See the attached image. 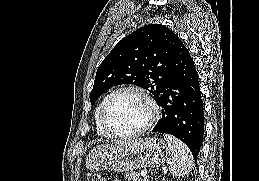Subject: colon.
Returning a JSON list of instances; mask_svg holds the SVG:
<instances>
[{"instance_id":"colon-1","label":"colon","mask_w":259,"mask_h":181,"mask_svg":"<svg viewBox=\"0 0 259 181\" xmlns=\"http://www.w3.org/2000/svg\"><path fill=\"white\" fill-rule=\"evenodd\" d=\"M90 181H106L103 177L99 176V175H95L91 178Z\"/></svg>"}]
</instances>
